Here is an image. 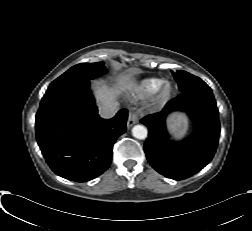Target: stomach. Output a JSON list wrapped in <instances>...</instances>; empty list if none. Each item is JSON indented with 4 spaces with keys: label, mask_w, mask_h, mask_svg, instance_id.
I'll list each match as a JSON object with an SVG mask.
<instances>
[{
    "label": "stomach",
    "mask_w": 252,
    "mask_h": 231,
    "mask_svg": "<svg viewBox=\"0 0 252 231\" xmlns=\"http://www.w3.org/2000/svg\"><path fill=\"white\" fill-rule=\"evenodd\" d=\"M169 126L176 138L185 135L188 128V120L185 115L175 114L169 120Z\"/></svg>",
    "instance_id": "1"
}]
</instances>
